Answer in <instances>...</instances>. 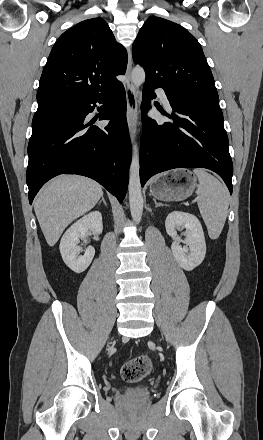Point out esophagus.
<instances>
[{
    "label": "esophagus",
    "mask_w": 263,
    "mask_h": 440,
    "mask_svg": "<svg viewBox=\"0 0 263 440\" xmlns=\"http://www.w3.org/2000/svg\"><path fill=\"white\" fill-rule=\"evenodd\" d=\"M131 70H132V55L129 50L128 53V63L126 69V81L124 83L125 92H126V100H127V123L130 132V137L133 140L135 134V127L137 121V95L135 92V88L131 81Z\"/></svg>",
    "instance_id": "34e87169"
}]
</instances>
